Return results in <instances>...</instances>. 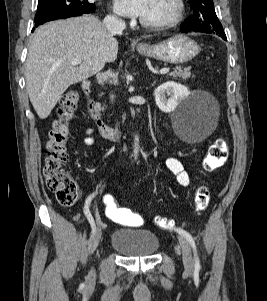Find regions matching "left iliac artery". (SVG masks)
<instances>
[{"label": "left iliac artery", "instance_id": "1", "mask_svg": "<svg viewBox=\"0 0 267 301\" xmlns=\"http://www.w3.org/2000/svg\"><path fill=\"white\" fill-rule=\"evenodd\" d=\"M175 230L179 233L182 234L191 244L193 251H194V259H195V268H200V260L197 254V248H196V244H195V240L193 238V236L187 232L186 230L182 229V228H175Z\"/></svg>", "mask_w": 267, "mask_h": 301}]
</instances>
